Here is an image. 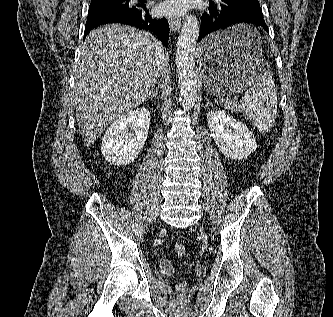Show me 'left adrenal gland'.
<instances>
[{"label": "left adrenal gland", "instance_id": "1", "mask_svg": "<svg viewBox=\"0 0 333 317\" xmlns=\"http://www.w3.org/2000/svg\"><path fill=\"white\" fill-rule=\"evenodd\" d=\"M208 105H212V103L209 101V99H207V102H206V106Z\"/></svg>", "mask_w": 333, "mask_h": 317}]
</instances>
